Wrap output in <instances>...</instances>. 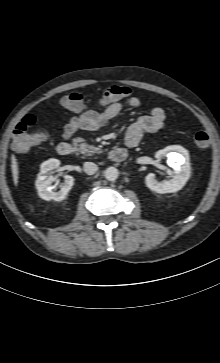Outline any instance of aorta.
<instances>
[{"label": "aorta", "instance_id": "1", "mask_svg": "<svg viewBox=\"0 0 220 363\" xmlns=\"http://www.w3.org/2000/svg\"><path fill=\"white\" fill-rule=\"evenodd\" d=\"M105 178L109 181H114L118 178L119 176V171L117 168L115 167H108L105 172Z\"/></svg>", "mask_w": 220, "mask_h": 363}]
</instances>
